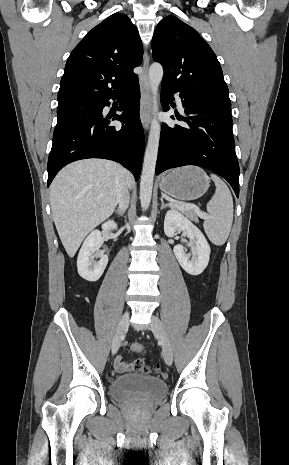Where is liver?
Segmentation results:
<instances>
[{
  "label": "liver",
  "mask_w": 289,
  "mask_h": 465,
  "mask_svg": "<svg viewBox=\"0 0 289 465\" xmlns=\"http://www.w3.org/2000/svg\"><path fill=\"white\" fill-rule=\"evenodd\" d=\"M132 174L113 161L84 159L64 167L50 186V205L61 242L73 257L87 234L109 218L117 205L121 180Z\"/></svg>",
  "instance_id": "1"
}]
</instances>
